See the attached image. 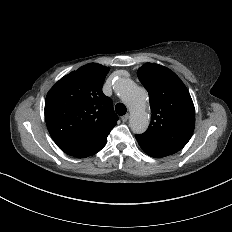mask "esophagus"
<instances>
[{
  "label": "esophagus",
  "mask_w": 232,
  "mask_h": 232,
  "mask_svg": "<svg viewBox=\"0 0 232 232\" xmlns=\"http://www.w3.org/2000/svg\"><path fill=\"white\" fill-rule=\"evenodd\" d=\"M128 118H129V114H128V113L125 114V115H123V116L121 117V119H122L123 122H127Z\"/></svg>",
  "instance_id": "obj_1"
}]
</instances>
